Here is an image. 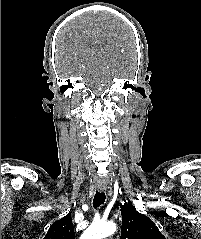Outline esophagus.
<instances>
[{
    "instance_id": "obj_1",
    "label": "esophagus",
    "mask_w": 201,
    "mask_h": 239,
    "mask_svg": "<svg viewBox=\"0 0 201 239\" xmlns=\"http://www.w3.org/2000/svg\"><path fill=\"white\" fill-rule=\"evenodd\" d=\"M97 188H98V190L101 191V192H104V191L107 190V187H106V186H98Z\"/></svg>"
}]
</instances>
